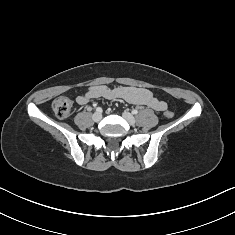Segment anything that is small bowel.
<instances>
[{
	"label": "small bowel",
	"mask_w": 235,
	"mask_h": 235,
	"mask_svg": "<svg viewBox=\"0 0 235 235\" xmlns=\"http://www.w3.org/2000/svg\"><path fill=\"white\" fill-rule=\"evenodd\" d=\"M95 98L122 99L129 104L145 106L158 112L167 109L165 101L154 97L150 90L141 87L96 85L78 95L76 101L79 105L84 106Z\"/></svg>",
	"instance_id": "c3829d8e"
}]
</instances>
